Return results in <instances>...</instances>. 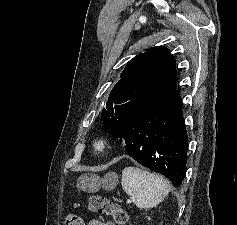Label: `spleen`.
Instances as JSON below:
<instances>
[{"instance_id":"1","label":"spleen","mask_w":237,"mask_h":225,"mask_svg":"<svg viewBox=\"0 0 237 225\" xmlns=\"http://www.w3.org/2000/svg\"><path fill=\"white\" fill-rule=\"evenodd\" d=\"M122 188L140 209L157 206L170 192L165 178L133 166L122 171Z\"/></svg>"}]
</instances>
